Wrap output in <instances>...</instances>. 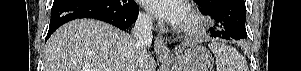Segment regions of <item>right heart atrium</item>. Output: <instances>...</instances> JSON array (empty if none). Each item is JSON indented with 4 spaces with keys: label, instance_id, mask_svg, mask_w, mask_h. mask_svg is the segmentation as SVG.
Listing matches in <instances>:
<instances>
[{
    "label": "right heart atrium",
    "instance_id": "1",
    "mask_svg": "<svg viewBox=\"0 0 301 71\" xmlns=\"http://www.w3.org/2000/svg\"><path fill=\"white\" fill-rule=\"evenodd\" d=\"M141 19H142V22L145 25H149L150 24V17L148 15H146V14L142 15Z\"/></svg>",
    "mask_w": 301,
    "mask_h": 71
}]
</instances>
